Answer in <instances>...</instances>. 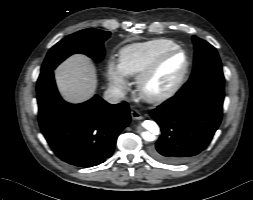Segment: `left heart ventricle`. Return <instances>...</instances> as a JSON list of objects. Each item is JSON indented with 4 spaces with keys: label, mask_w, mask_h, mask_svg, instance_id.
Returning a JSON list of instances; mask_svg holds the SVG:
<instances>
[{
    "label": "left heart ventricle",
    "mask_w": 253,
    "mask_h": 200,
    "mask_svg": "<svg viewBox=\"0 0 253 200\" xmlns=\"http://www.w3.org/2000/svg\"><path fill=\"white\" fill-rule=\"evenodd\" d=\"M185 64L182 54H173L167 57L159 66L147 84L151 93H158L167 89L179 76Z\"/></svg>",
    "instance_id": "1"
}]
</instances>
